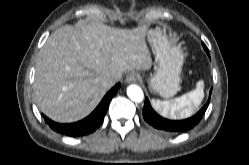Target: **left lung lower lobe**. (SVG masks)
<instances>
[{"label":"left lung lower lobe","mask_w":249,"mask_h":165,"mask_svg":"<svg viewBox=\"0 0 249 165\" xmlns=\"http://www.w3.org/2000/svg\"><path fill=\"white\" fill-rule=\"evenodd\" d=\"M210 96H211V91H210ZM209 102H210V97L207 103L204 105V107L201 108V110L197 114L188 119L179 120V121L168 120L158 115L152 109L148 98L145 99L142 112L144 120L155 129L164 133L178 134L192 129L195 125L199 123L209 105Z\"/></svg>","instance_id":"left-lung-lower-lobe-1"}]
</instances>
